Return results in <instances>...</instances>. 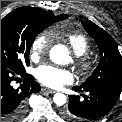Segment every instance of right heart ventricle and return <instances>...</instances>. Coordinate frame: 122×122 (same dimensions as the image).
I'll return each mask as SVG.
<instances>
[{
  "label": "right heart ventricle",
  "instance_id": "obj_1",
  "mask_svg": "<svg viewBox=\"0 0 122 122\" xmlns=\"http://www.w3.org/2000/svg\"><path fill=\"white\" fill-rule=\"evenodd\" d=\"M67 39L77 56L86 54L90 49L88 38L81 33L70 34L68 35Z\"/></svg>",
  "mask_w": 122,
  "mask_h": 122
}]
</instances>
